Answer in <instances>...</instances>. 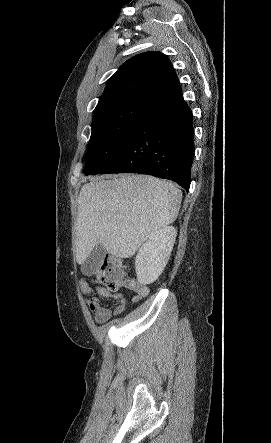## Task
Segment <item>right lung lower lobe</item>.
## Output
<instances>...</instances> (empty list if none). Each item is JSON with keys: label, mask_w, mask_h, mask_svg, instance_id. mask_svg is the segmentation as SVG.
<instances>
[{"label": "right lung lower lobe", "mask_w": 271, "mask_h": 443, "mask_svg": "<svg viewBox=\"0 0 271 443\" xmlns=\"http://www.w3.org/2000/svg\"><path fill=\"white\" fill-rule=\"evenodd\" d=\"M192 119L182 94L152 104L106 164L92 174H149L173 180L188 191L194 158Z\"/></svg>", "instance_id": "98d812e1"}]
</instances>
